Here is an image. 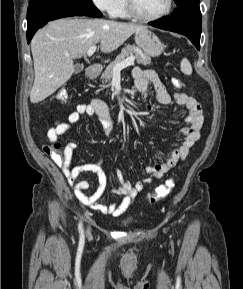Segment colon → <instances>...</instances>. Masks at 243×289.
<instances>
[{
	"label": "colon",
	"mask_w": 243,
	"mask_h": 289,
	"mask_svg": "<svg viewBox=\"0 0 243 289\" xmlns=\"http://www.w3.org/2000/svg\"><path fill=\"white\" fill-rule=\"evenodd\" d=\"M172 84L176 88L183 87L182 81L177 78L172 79ZM55 97L63 103L66 102L69 98L66 89H63V88L57 91ZM59 148H60V143H54V144L44 146L45 152L51 156V158L54 160V162L57 165L62 166L64 164V156H62L61 153L59 152ZM174 186H175V182L173 179L167 180L163 185H160L159 187H157L156 190L148 196L149 203L154 204L158 202L159 200L166 198L171 193Z\"/></svg>",
	"instance_id": "1"
}]
</instances>
